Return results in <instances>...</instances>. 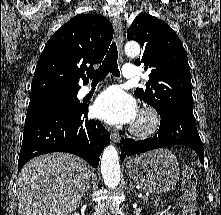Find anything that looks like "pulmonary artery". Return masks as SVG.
<instances>
[{
    "label": "pulmonary artery",
    "mask_w": 221,
    "mask_h": 215,
    "mask_svg": "<svg viewBox=\"0 0 221 215\" xmlns=\"http://www.w3.org/2000/svg\"><path fill=\"white\" fill-rule=\"evenodd\" d=\"M122 75L125 77V78H133L137 75V71H136V67L134 65H131V64H125L123 65L122 67ZM99 84H97L95 87H98ZM94 87L92 86H84L81 88L80 90V96L83 97L85 96L86 94H88L90 91H92Z\"/></svg>",
    "instance_id": "pulmonary-artery-1"
}]
</instances>
